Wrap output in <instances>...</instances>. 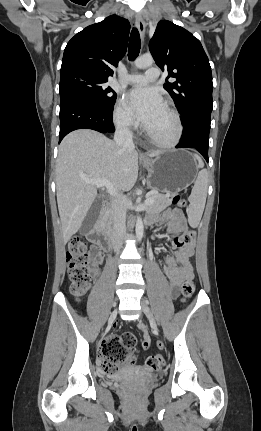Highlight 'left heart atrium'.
Here are the masks:
<instances>
[{
	"instance_id": "obj_1",
	"label": "left heart atrium",
	"mask_w": 261,
	"mask_h": 431,
	"mask_svg": "<svg viewBox=\"0 0 261 431\" xmlns=\"http://www.w3.org/2000/svg\"><path fill=\"white\" fill-rule=\"evenodd\" d=\"M126 101L131 111L145 127L164 107L160 93L149 87H138L130 90L126 94Z\"/></svg>"
}]
</instances>
